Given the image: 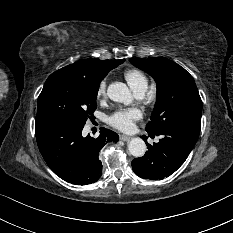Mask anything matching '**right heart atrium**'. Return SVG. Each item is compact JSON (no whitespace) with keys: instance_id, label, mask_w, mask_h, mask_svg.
Wrapping results in <instances>:
<instances>
[{"instance_id":"d8ad5b80","label":"right heart atrium","mask_w":233,"mask_h":233,"mask_svg":"<svg viewBox=\"0 0 233 233\" xmlns=\"http://www.w3.org/2000/svg\"><path fill=\"white\" fill-rule=\"evenodd\" d=\"M106 87H107L106 80H101L98 84L97 91H96L97 98L100 99L106 95Z\"/></svg>"}]
</instances>
